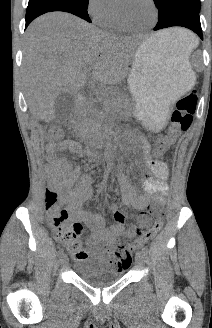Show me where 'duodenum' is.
Here are the masks:
<instances>
[{"label": "duodenum", "mask_w": 212, "mask_h": 328, "mask_svg": "<svg viewBox=\"0 0 212 328\" xmlns=\"http://www.w3.org/2000/svg\"><path fill=\"white\" fill-rule=\"evenodd\" d=\"M91 96H92V94H91V91L89 89H84L83 90V97L84 98H90ZM79 109H80V106L78 105L74 112L77 113L79 111Z\"/></svg>", "instance_id": "obj_1"}]
</instances>
